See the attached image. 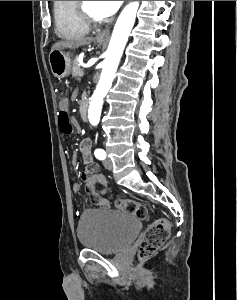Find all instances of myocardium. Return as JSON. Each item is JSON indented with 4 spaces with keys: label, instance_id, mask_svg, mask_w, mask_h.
<instances>
[{
    "label": "myocardium",
    "instance_id": "obj_1",
    "mask_svg": "<svg viewBox=\"0 0 237 300\" xmlns=\"http://www.w3.org/2000/svg\"><path fill=\"white\" fill-rule=\"evenodd\" d=\"M77 10L80 18L89 26H98L106 22L105 18L92 15L86 8L84 1H77Z\"/></svg>",
    "mask_w": 237,
    "mask_h": 300
}]
</instances>
